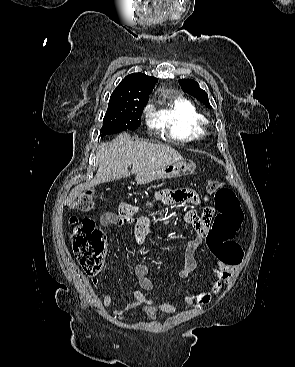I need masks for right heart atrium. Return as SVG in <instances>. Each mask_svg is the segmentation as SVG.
Listing matches in <instances>:
<instances>
[{
  "instance_id": "1",
  "label": "right heart atrium",
  "mask_w": 295,
  "mask_h": 367,
  "mask_svg": "<svg viewBox=\"0 0 295 367\" xmlns=\"http://www.w3.org/2000/svg\"><path fill=\"white\" fill-rule=\"evenodd\" d=\"M148 117H149V119H148L149 126L150 127H155L156 126L155 122L150 118V115H148Z\"/></svg>"
}]
</instances>
